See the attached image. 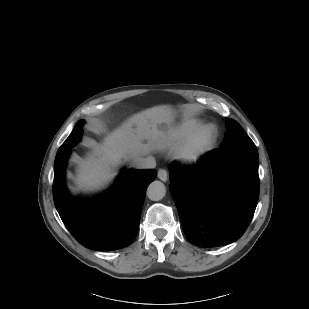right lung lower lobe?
<instances>
[{"label": "right lung lower lobe", "instance_id": "obj_1", "mask_svg": "<svg viewBox=\"0 0 309 309\" xmlns=\"http://www.w3.org/2000/svg\"><path fill=\"white\" fill-rule=\"evenodd\" d=\"M69 151L55 159L53 197L70 233L83 246L112 251L130 245L137 234L146 188L157 172L123 171L113 189L94 202L74 199L65 184Z\"/></svg>", "mask_w": 309, "mask_h": 309}]
</instances>
